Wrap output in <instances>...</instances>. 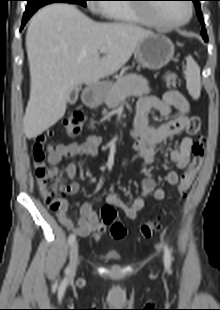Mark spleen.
Instances as JSON below:
<instances>
[{
    "instance_id": "spleen-1",
    "label": "spleen",
    "mask_w": 220,
    "mask_h": 310,
    "mask_svg": "<svg viewBox=\"0 0 220 310\" xmlns=\"http://www.w3.org/2000/svg\"><path fill=\"white\" fill-rule=\"evenodd\" d=\"M186 85L190 95L198 99L201 92L200 68L191 56L187 59Z\"/></svg>"
}]
</instances>
